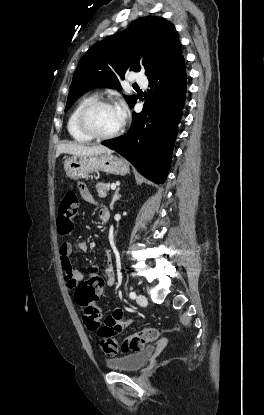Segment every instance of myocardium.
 I'll use <instances>...</instances> for the list:
<instances>
[{"label":"myocardium","mask_w":264,"mask_h":415,"mask_svg":"<svg viewBox=\"0 0 264 415\" xmlns=\"http://www.w3.org/2000/svg\"><path fill=\"white\" fill-rule=\"evenodd\" d=\"M103 106H115L117 107V105L111 101V100H107V99H96L88 104H86L79 112L78 117H77V125L79 127V129L81 130L82 133H84L86 136H88L91 139L94 140H109V139H114L117 138L118 136H120L125 128V118L122 120V123L120 125V127L114 131L111 134H106V135H102L97 133L89 124V116L90 114Z\"/></svg>","instance_id":"obj_1"}]
</instances>
